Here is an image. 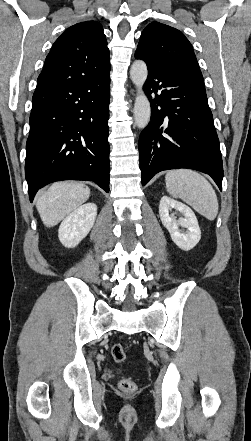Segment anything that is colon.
Listing matches in <instances>:
<instances>
[{
	"label": "colon",
	"instance_id": "obj_1",
	"mask_svg": "<svg viewBox=\"0 0 251 441\" xmlns=\"http://www.w3.org/2000/svg\"><path fill=\"white\" fill-rule=\"evenodd\" d=\"M110 352L116 363H121L126 359L124 347L119 343L112 345ZM119 388L123 392L132 393L136 390V383L131 378H123L119 381Z\"/></svg>",
	"mask_w": 251,
	"mask_h": 441
}]
</instances>
